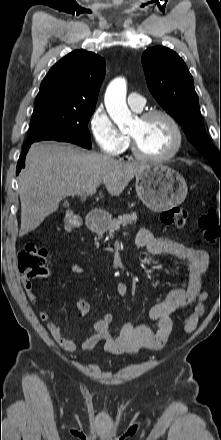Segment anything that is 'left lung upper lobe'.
Wrapping results in <instances>:
<instances>
[{
	"instance_id": "1",
	"label": "left lung upper lobe",
	"mask_w": 221,
	"mask_h": 440,
	"mask_svg": "<svg viewBox=\"0 0 221 440\" xmlns=\"http://www.w3.org/2000/svg\"><path fill=\"white\" fill-rule=\"evenodd\" d=\"M142 64L148 88L156 101L181 125L189 141L221 172L219 156L209 140L193 78L182 58L169 48L147 49Z\"/></svg>"
}]
</instances>
